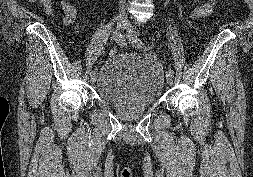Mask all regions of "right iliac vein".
<instances>
[{
  "label": "right iliac vein",
  "mask_w": 253,
  "mask_h": 177,
  "mask_svg": "<svg viewBox=\"0 0 253 177\" xmlns=\"http://www.w3.org/2000/svg\"><path fill=\"white\" fill-rule=\"evenodd\" d=\"M116 21H117V24H118V27L119 28H123L126 24V18L124 16V13L122 10H119L117 15H116ZM96 78H97V73L96 72H91L90 73V81L93 83L96 81Z\"/></svg>",
  "instance_id": "1"
}]
</instances>
